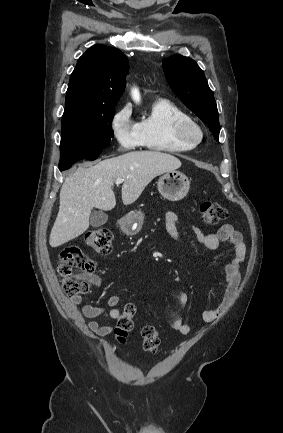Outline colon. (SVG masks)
Returning a JSON list of instances; mask_svg holds the SVG:
<instances>
[{"mask_svg":"<svg viewBox=\"0 0 283 433\" xmlns=\"http://www.w3.org/2000/svg\"><path fill=\"white\" fill-rule=\"evenodd\" d=\"M202 220L207 225H216L227 217V211L219 203L206 200L200 205ZM85 244L96 253L105 255L111 250V235L108 230L96 229L85 234ZM95 264L79 247L68 246L64 248L59 257L57 272L62 278V286L69 297L83 294L89 289V278L93 273ZM136 307L127 304L119 315L114 329V335L119 343H124L134 326ZM143 349L156 354L160 345L159 333L151 325L145 326L141 331Z\"/></svg>","mask_w":283,"mask_h":433,"instance_id":"5ec220e1","label":"colon"}]
</instances>
